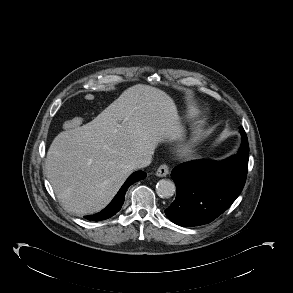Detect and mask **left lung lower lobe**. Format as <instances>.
<instances>
[{"label":"left lung lower lobe","instance_id":"left-lung-lower-lobe-1","mask_svg":"<svg viewBox=\"0 0 293 293\" xmlns=\"http://www.w3.org/2000/svg\"><path fill=\"white\" fill-rule=\"evenodd\" d=\"M223 161L193 160L171 172L177 188L175 201L165 210L167 217L183 227L207 224L227 210L241 193L248 170L249 145Z\"/></svg>","mask_w":293,"mask_h":293}]
</instances>
